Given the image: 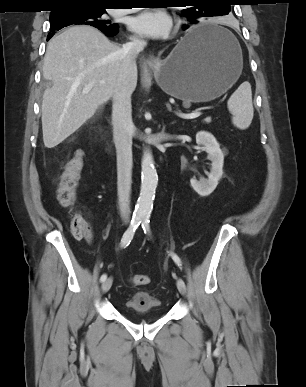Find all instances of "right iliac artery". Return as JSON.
I'll use <instances>...</instances> for the list:
<instances>
[{"instance_id": "82829eb1", "label": "right iliac artery", "mask_w": 306, "mask_h": 387, "mask_svg": "<svg viewBox=\"0 0 306 387\" xmlns=\"http://www.w3.org/2000/svg\"><path fill=\"white\" fill-rule=\"evenodd\" d=\"M141 222H142V219L140 217H133V219L131 220L130 226L125 231L121 239V245H120L121 248H125L130 244L131 240L133 239L134 233L136 229L139 227ZM106 279H107V275L103 274L100 278V281L104 282Z\"/></svg>"}]
</instances>
